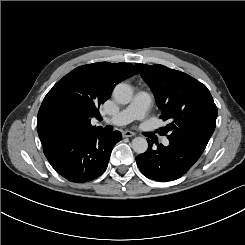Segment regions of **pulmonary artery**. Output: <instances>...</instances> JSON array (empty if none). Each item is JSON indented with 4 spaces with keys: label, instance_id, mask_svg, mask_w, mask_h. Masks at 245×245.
I'll return each mask as SVG.
<instances>
[{
    "label": "pulmonary artery",
    "instance_id": "obj_1",
    "mask_svg": "<svg viewBox=\"0 0 245 245\" xmlns=\"http://www.w3.org/2000/svg\"><path fill=\"white\" fill-rule=\"evenodd\" d=\"M150 108V98L145 95L143 91H138L126 107H124L116 115L105 120V123L120 126L125 125L134 119L144 122L148 118ZM158 141L161 146L165 147L170 144L171 140L168 135L164 134L159 137Z\"/></svg>",
    "mask_w": 245,
    "mask_h": 245
}]
</instances>
